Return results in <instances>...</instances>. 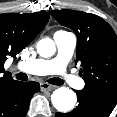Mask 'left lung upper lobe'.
<instances>
[{
	"instance_id": "left-lung-upper-lobe-1",
	"label": "left lung upper lobe",
	"mask_w": 117,
	"mask_h": 117,
	"mask_svg": "<svg viewBox=\"0 0 117 117\" xmlns=\"http://www.w3.org/2000/svg\"><path fill=\"white\" fill-rule=\"evenodd\" d=\"M50 14L77 36L76 63L85 81L84 91L117 98V36L101 17L74 10Z\"/></svg>"
}]
</instances>
